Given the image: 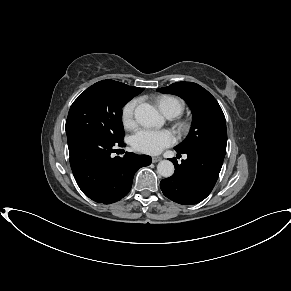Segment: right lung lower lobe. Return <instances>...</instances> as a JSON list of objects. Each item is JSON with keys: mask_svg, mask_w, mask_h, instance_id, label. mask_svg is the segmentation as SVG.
Here are the masks:
<instances>
[{"mask_svg": "<svg viewBox=\"0 0 291 291\" xmlns=\"http://www.w3.org/2000/svg\"><path fill=\"white\" fill-rule=\"evenodd\" d=\"M70 165L82 192L98 203H114L128 194L135 172L151 163V157L125 153L113 157L112 143L85 132H67Z\"/></svg>", "mask_w": 291, "mask_h": 291, "instance_id": "98d812e1", "label": "right lung lower lobe"}]
</instances>
